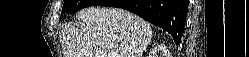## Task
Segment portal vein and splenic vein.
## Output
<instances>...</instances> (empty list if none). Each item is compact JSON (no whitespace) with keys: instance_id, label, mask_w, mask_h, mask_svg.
Returning <instances> with one entry per match:
<instances>
[{"instance_id":"obj_1","label":"portal vein and splenic vein","mask_w":249,"mask_h":57,"mask_svg":"<svg viewBox=\"0 0 249 57\" xmlns=\"http://www.w3.org/2000/svg\"><path fill=\"white\" fill-rule=\"evenodd\" d=\"M104 56H107V55H104ZM108 56H112V55L109 54Z\"/></svg>"}]
</instances>
